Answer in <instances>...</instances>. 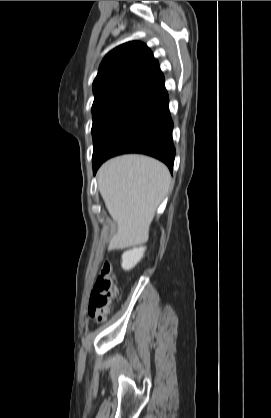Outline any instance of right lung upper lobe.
I'll use <instances>...</instances> for the list:
<instances>
[{
  "mask_svg": "<svg viewBox=\"0 0 271 418\" xmlns=\"http://www.w3.org/2000/svg\"><path fill=\"white\" fill-rule=\"evenodd\" d=\"M93 92V104L135 98L154 105L168 97L158 62L151 50L138 41L122 44L105 56Z\"/></svg>",
  "mask_w": 271,
  "mask_h": 418,
  "instance_id": "obj_1",
  "label": "right lung upper lobe"
}]
</instances>
